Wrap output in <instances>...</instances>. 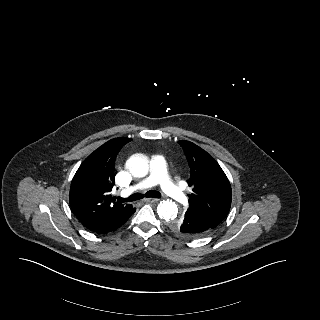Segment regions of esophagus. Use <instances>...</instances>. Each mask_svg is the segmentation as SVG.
<instances>
[{"label":"esophagus","mask_w":320,"mask_h":320,"mask_svg":"<svg viewBox=\"0 0 320 320\" xmlns=\"http://www.w3.org/2000/svg\"><path fill=\"white\" fill-rule=\"evenodd\" d=\"M159 201V199H156V198H145V202L147 203H154V202H157Z\"/></svg>","instance_id":"esophagus-1"}]
</instances>
